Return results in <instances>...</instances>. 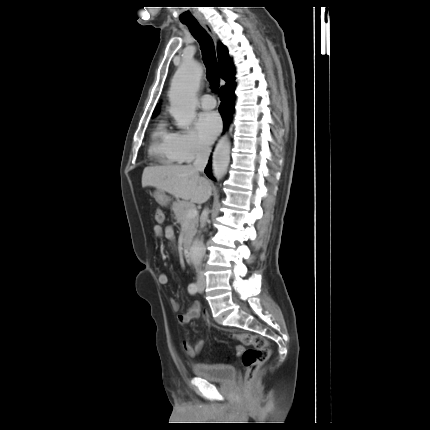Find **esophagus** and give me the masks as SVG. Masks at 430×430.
Segmentation results:
<instances>
[{"instance_id":"34e87169","label":"esophagus","mask_w":430,"mask_h":430,"mask_svg":"<svg viewBox=\"0 0 430 430\" xmlns=\"http://www.w3.org/2000/svg\"><path fill=\"white\" fill-rule=\"evenodd\" d=\"M203 27L206 29V31L212 36L213 39H216L215 32L211 25L207 22H202Z\"/></svg>"}]
</instances>
